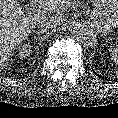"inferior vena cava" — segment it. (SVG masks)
Returning <instances> with one entry per match:
<instances>
[{"instance_id":"obj_1","label":"inferior vena cava","mask_w":118,"mask_h":118,"mask_svg":"<svg viewBox=\"0 0 118 118\" xmlns=\"http://www.w3.org/2000/svg\"><path fill=\"white\" fill-rule=\"evenodd\" d=\"M57 24L58 23H57L56 19L48 17V16H41L37 20V25L36 26L39 29V32L45 33Z\"/></svg>"}]
</instances>
